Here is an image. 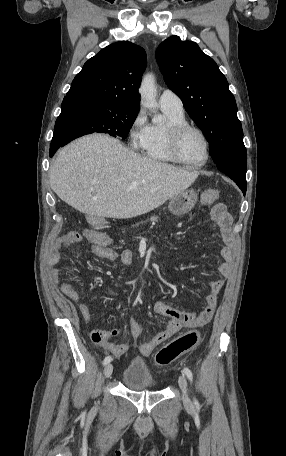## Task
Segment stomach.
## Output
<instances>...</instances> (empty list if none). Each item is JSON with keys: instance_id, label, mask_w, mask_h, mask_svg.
Listing matches in <instances>:
<instances>
[{"instance_id": "0dacf381", "label": "stomach", "mask_w": 286, "mask_h": 456, "mask_svg": "<svg viewBox=\"0 0 286 456\" xmlns=\"http://www.w3.org/2000/svg\"><path fill=\"white\" fill-rule=\"evenodd\" d=\"M197 199L194 190H185L171 198L168 209L174 215H184L195 206Z\"/></svg>"}]
</instances>
